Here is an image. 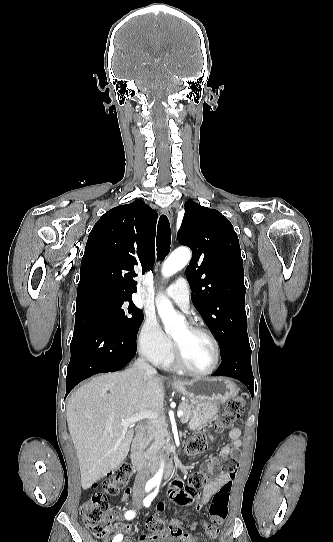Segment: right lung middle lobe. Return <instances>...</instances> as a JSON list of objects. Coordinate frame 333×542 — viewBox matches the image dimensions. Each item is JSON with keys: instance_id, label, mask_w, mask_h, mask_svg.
I'll return each instance as SVG.
<instances>
[{"instance_id": "1", "label": "right lung middle lobe", "mask_w": 333, "mask_h": 542, "mask_svg": "<svg viewBox=\"0 0 333 542\" xmlns=\"http://www.w3.org/2000/svg\"><path fill=\"white\" fill-rule=\"evenodd\" d=\"M78 309L96 311L117 332L123 337H126L129 342H136L137 333L143 321L144 314L133 302L119 301L106 295L95 294L77 304L76 310Z\"/></svg>"}]
</instances>
